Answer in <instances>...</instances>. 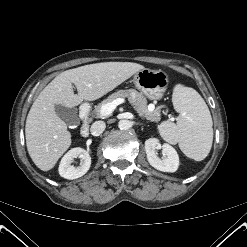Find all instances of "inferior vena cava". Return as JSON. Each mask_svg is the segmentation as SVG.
Here are the masks:
<instances>
[{"mask_svg": "<svg viewBox=\"0 0 247 247\" xmlns=\"http://www.w3.org/2000/svg\"><path fill=\"white\" fill-rule=\"evenodd\" d=\"M106 128V124L104 121H95L90 128L91 134L93 136H99L103 133Z\"/></svg>", "mask_w": 247, "mask_h": 247, "instance_id": "obj_1", "label": "inferior vena cava"}]
</instances>
